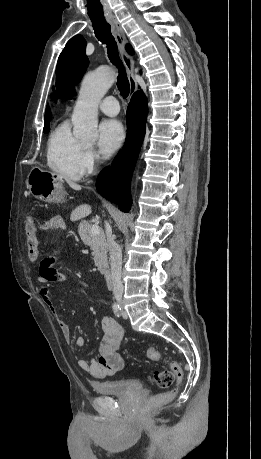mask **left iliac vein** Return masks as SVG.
<instances>
[{
  "instance_id": "1",
  "label": "left iliac vein",
  "mask_w": 261,
  "mask_h": 459,
  "mask_svg": "<svg viewBox=\"0 0 261 459\" xmlns=\"http://www.w3.org/2000/svg\"><path fill=\"white\" fill-rule=\"evenodd\" d=\"M122 316L124 319H127L128 318V313L125 309L122 310Z\"/></svg>"
}]
</instances>
